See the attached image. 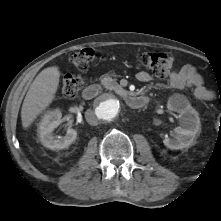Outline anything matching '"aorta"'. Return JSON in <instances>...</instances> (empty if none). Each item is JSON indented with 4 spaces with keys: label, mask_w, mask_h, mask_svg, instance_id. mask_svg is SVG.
Listing matches in <instances>:
<instances>
[{
    "label": "aorta",
    "mask_w": 221,
    "mask_h": 221,
    "mask_svg": "<svg viewBox=\"0 0 221 221\" xmlns=\"http://www.w3.org/2000/svg\"><path fill=\"white\" fill-rule=\"evenodd\" d=\"M123 110L122 101L114 95L102 96L95 106V114L102 122L114 121Z\"/></svg>",
    "instance_id": "762f6f07"
}]
</instances>
